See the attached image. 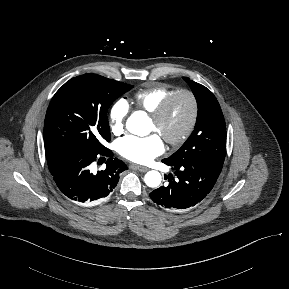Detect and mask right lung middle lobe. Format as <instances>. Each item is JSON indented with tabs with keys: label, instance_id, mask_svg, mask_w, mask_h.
<instances>
[{
	"label": "right lung middle lobe",
	"instance_id": "1",
	"mask_svg": "<svg viewBox=\"0 0 289 289\" xmlns=\"http://www.w3.org/2000/svg\"><path fill=\"white\" fill-rule=\"evenodd\" d=\"M133 86L96 74L66 82L53 96L44 123L46 158L67 150L100 152L110 139L106 112Z\"/></svg>",
	"mask_w": 289,
	"mask_h": 289
}]
</instances>
